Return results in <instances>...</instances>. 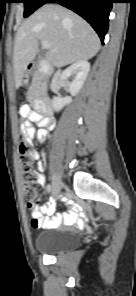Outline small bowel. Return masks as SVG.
Returning a JSON list of instances; mask_svg holds the SVG:
<instances>
[{
    "instance_id": "1",
    "label": "small bowel",
    "mask_w": 136,
    "mask_h": 296,
    "mask_svg": "<svg viewBox=\"0 0 136 296\" xmlns=\"http://www.w3.org/2000/svg\"><path fill=\"white\" fill-rule=\"evenodd\" d=\"M20 114L26 116L34 122H38L42 117L37 113L29 110L26 106L20 107ZM22 132H25L29 137L35 136L38 140L44 141L47 139L48 132L45 129L36 130L34 127L30 126L27 129L22 128ZM44 165L41 161L37 163V175L38 183L44 185L45 178L43 176ZM53 207L51 204L44 205L41 207H36L32 213V226L34 228H58L61 225L71 226L79 221V216L76 212H71L69 214H57L53 215L51 213ZM43 215H46L44 217Z\"/></svg>"
}]
</instances>
